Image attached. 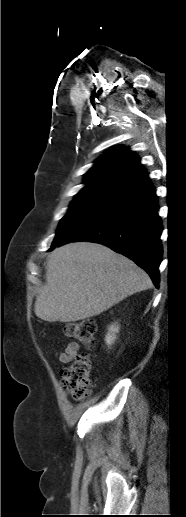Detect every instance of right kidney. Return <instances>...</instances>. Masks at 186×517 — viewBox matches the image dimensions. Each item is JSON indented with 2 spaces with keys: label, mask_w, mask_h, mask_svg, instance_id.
Instances as JSON below:
<instances>
[{
  "label": "right kidney",
  "mask_w": 186,
  "mask_h": 517,
  "mask_svg": "<svg viewBox=\"0 0 186 517\" xmlns=\"http://www.w3.org/2000/svg\"><path fill=\"white\" fill-rule=\"evenodd\" d=\"M119 332V325H116V324H113L111 325L109 328H108V333L105 337V342L106 344L110 347L112 346L116 339H117V336L116 334Z\"/></svg>",
  "instance_id": "ca27d5eb"
}]
</instances>
